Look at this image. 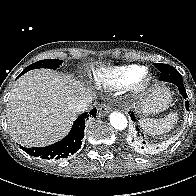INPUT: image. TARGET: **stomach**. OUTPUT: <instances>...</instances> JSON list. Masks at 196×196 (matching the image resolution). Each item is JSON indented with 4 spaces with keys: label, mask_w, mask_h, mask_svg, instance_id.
<instances>
[{
    "label": "stomach",
    "mask_w": 196,
    "mask_h": 196,
    "mask_svg": "<svg viewBox=\"0 0 196 196\" xmlns=\"http://www.w3.org/2000/svg\"><path fill=\"white\" fill-rule=\"evenodd\" d=\"M171 101L172 95L168 88L155 86L137 103V110L143 115L160 113L169 107Z\"/></svg>",
    "instance_id": "0dacf381"
}]
</instances>
